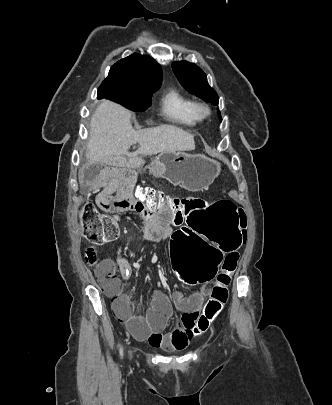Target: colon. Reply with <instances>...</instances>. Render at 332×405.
<instances>
[{
	"label": "colon",
	"mask_w": 332,
	"mask_h": 405,
	"mask_svg": "<svg viewBox=\"0 0 332 405\" xmlns=\"http://www.w3.org/2000/svg\"><path fill=\"white\" fill-rule=\"evenodd\" d=\"M163 196L167 199L164 203L160 200ZM133 197H138L142 204L140 212L155 211L159 215L164 208H172L173 221L185 220L184 225L171 234V240H167L169 275H175L182 287H206L207 281L217 275L211 297L196 323L199 330H206L227 302L231 276L237 267L236 253L242 245L240 208L227 197H217L215 202L206 205L200 198L154 191L152 184H138ZM80 221L91 243L109 241L117 235L116 222L92 203L82 205ZM85 260L91 265L97 263L92 246L86 249ZM103 289L112 297L117 314L132 315L134 299L124 291L121 280L113 271L103 275ZM198 329L191 331L193 338L200 336Z\"/></svg>",
	"instance_id": "colon-1"
}]
</instances>
